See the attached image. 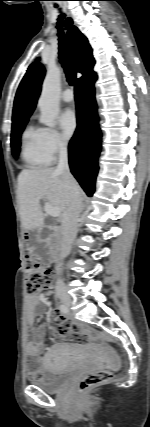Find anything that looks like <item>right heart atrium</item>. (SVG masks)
<instances>
[{"label": "right heart atrium", "instance_id": "obj_1", "mask_svg": "<svg viewBox=\"0 0 150 427\" xmlns=\"http://www.w3.org/2000/svg\"><path fill=\"white\" fill-rule=\"evenodd\" d=\"M42 146L48 160L54 161L55 158L67 148V144L61 133L54 128H41Z\"/></svg>", "mask_w": 150, "mask_h": 427}]
</instances>
